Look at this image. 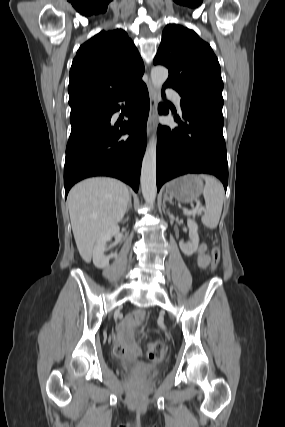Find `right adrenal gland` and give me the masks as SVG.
<instances>
[{"label": "right adrenal gland", "mask_w": 285, "mask_h": 427, "mask_svg": "<svg viewBox=\"0 0 285 427\" xmlns=\"http://www.w3.org/2000/svg\"><path fill=\"white\" fill-rule=\"evenodd\" d=\"M131 207H132V198H131V195H130L129 196V202H128V206H127L126 212H128L129 208H131Z\"/></svg>", "instance_id": "obj_1"}]
</instances>
